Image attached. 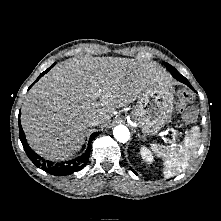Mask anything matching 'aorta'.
<instances>
[{
    "label": "aorta",
    "instance_id": "obj_1",
    "mask_svg": "<svg viewBox=\"0 0 221 221\" xmlns=\"http://www.w3.org/2000/svg\"><path fill=\"white\" fill-rule=\"evenodd\" d=\"M113 135L115 139L121 143H125L129 140V129L124 125H118L113 129Z\"/></svg>",
    "mask_w": 221,
    "mask_h": 221
}]
</instances>
